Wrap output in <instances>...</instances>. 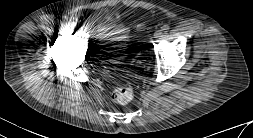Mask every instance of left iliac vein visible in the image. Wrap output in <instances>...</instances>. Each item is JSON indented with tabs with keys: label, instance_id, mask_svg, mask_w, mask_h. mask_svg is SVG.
I'll use <instances>...</instances> for the list:
<instances>
[{
	"label": "left iliac vein",
	"instance_id": "4c4485c4",
	"mask_svg": "<svg viewBox=\"0 0 253 138\" xmlns=\"http://www.w3.org/2000/svg\"><path fill=\"white\" fill-rule=\"evenodd\" d=\"M162 36V31L161 30H157L155 33H154V38L155 39H158Z\"/></svg>",
	"mask_w": 253,
	"mask_h": 138
}]
</instances>
